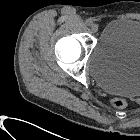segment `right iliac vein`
Masks as SVG:
<instances>
[{"label":"right iliac vein","mask_w":140,"mask_h":140,"mask_svg":"<svg viewBox=\"0 0 140 140\" xmlns=\"http://www.w3.org/2000/svg\"><path fill=\"white\" fill-rule=\"evenodd\" d=\"M98 30H99L98 24H95L94 23V24L91 25V31H92V33H97Z\"/></svg>","instance_id":"63e3f726"}]
</instances>
